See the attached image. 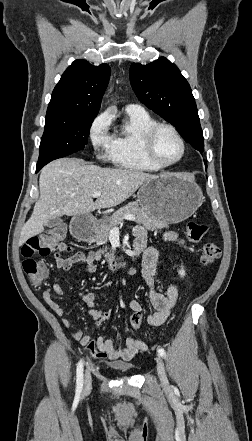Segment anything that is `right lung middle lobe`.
Here are the masks:
<instances>
[{
    "mask_svg": "<svg viewBox=\"0 0 252 441\" xmlns=\"http://www.w3.org/2000/svg\"><path fill=\"white\" fill-rule=\"evenodd\" d=\"M95 117L94 114L47 112L37 165L83 150Z\"/></svg>",
    "mask_w": 252,
    "mask_h": 441,
    "instance_id": "right-lung-middle-lobe-1",
    "label": "right lung middle lobe"
}]
</instances>
